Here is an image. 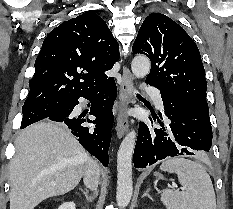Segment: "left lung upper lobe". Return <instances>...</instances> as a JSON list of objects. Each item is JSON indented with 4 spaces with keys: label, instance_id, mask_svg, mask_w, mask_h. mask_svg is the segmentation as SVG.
I'll list each match as a JSON object with an SVG mask.
<instances>
[{
    "label": "left lung upper lobe",
    "instance_id": "left-lung-upper-lobe-1",
    "mask_svg": "<svg viewBox=\"0 0 233 209\" xmlns=\"http://www.w3.org/2000/svg\"><path fill=\"white\" fill-rule=\"evenodd\" d=\"M132 50L151 60L147 82L209 112L200 52L180 25L164 14H150L138 32Z\"/></svg>",
    "mask_w": 233,
    "mask_h": 209
}]
</instances>
